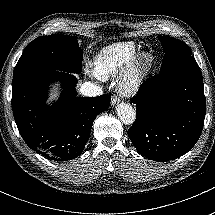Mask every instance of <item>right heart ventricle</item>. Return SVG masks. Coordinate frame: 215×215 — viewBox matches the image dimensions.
I'll return each mask as SVG.
<instances>
[{
	"label": "right heart ventricle",
	"instance_id": "e07e8e85",
	"mask_svg": "<svg viewBox=\"0 0 215 215\" xmlns=\"http://www.w3.org/2000/svg\"><path fill=\"white\" fill-rule=\"evenodd\" d=\"M138 45L132 41L118 42L100 49L89 61L92 75L107 79L122 70L133 58Z\"/></svg>",
	"mask_w": 215,
	"mask_h": 215
}]
</instances>
